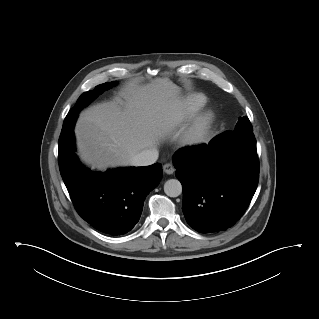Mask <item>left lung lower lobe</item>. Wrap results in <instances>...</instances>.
<instances>
[{"mask_svg": "<svg viewBox=\"0 0 319 319\" xmlns=\"http://www.w3.org/2000/svg\"><path fill=\"white\" fill-rule=\"evenodd\" d=\"M183 186L182 210L200 233L225 231L243 215L259 179L254 135L224 132L209 144L184 147L173 155Z\"/></svg>", "mask_w": 319, "mask_h": 319, "instance_id": "0a47b994", "label": "left lung lower lobe"}]
</instances>
